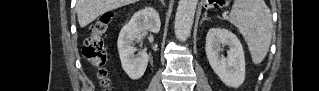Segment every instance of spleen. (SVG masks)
<instances>
[{
    "label": "spleen",
    "instance_id": "obj_1",
    "mask_svg": "<svg viewBox=\"0 0 319 91\" xmlns=\"http://www.w3.org/2000/svg\"><path fill=\"white\" fill-rule=\"evenodd\" d=\"M229 21L244 37L254 64H260L269 51L272 15L263 0H235Z\"/></svg>",
    "mask_w": 319,
    "mask_h": 91
}]
</instances>
